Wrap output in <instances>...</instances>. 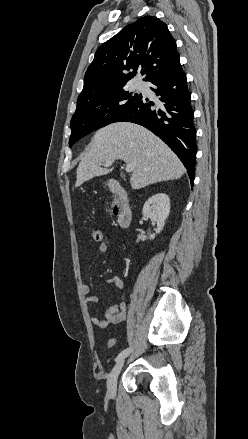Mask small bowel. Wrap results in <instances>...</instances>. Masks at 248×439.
<instances>
[{"label":"small bowel","instance_id":"obj_1","mask_svg":"<svg viewBox=\"0 0 248 439\" xmlns=\"http://www.w3.org/2000/svg\"><path fill=\"white\" fill-rule=\"evenodd\" d=\"M108 249V244L102 241L98 246V251L100 253H105ZM107 284L116 287L119 290H122L124 287V282L122 278L118 275L113 276L112 278L106 281ZM82 292L85 295V299L88 303H97L99 301L98 296L90 294V289L88 285L82 284L81 286ZM126 303L123 298L108 307H106L104 312V318H91V323L98 328H106L110 324H119L126 319Z\"/></svg>","mask_w":248,"mask_h":439}]
</instances>
